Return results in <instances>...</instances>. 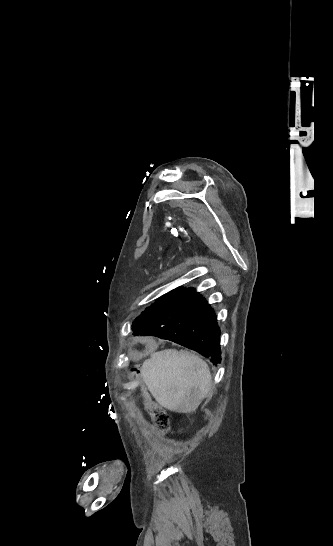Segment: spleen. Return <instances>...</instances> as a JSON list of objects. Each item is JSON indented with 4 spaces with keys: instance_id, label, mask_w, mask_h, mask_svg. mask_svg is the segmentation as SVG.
I'll list each match as a JSON object with an SVG mask.
<instances>
[{
    "instance_id": "3e777b00",
    "label": "spleen",
    "mask_w": 333,
    "mask_h": 546,
    "mask_svg": "<svg viewBox=\"0 0 333 546\" xmlns=\"http://www.w3.org/2000/svg\"><path fill=\"white\" fill-rule=\"evenodd\" d=\"M141 374L156 401L179 413L195 410L212 387L207 363L185 350L152 353Z\"/></svg>"
}]
</instances>
